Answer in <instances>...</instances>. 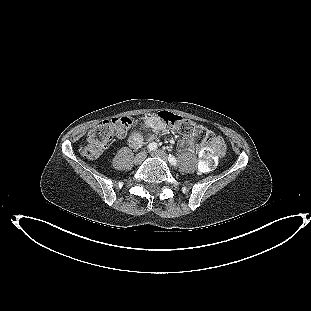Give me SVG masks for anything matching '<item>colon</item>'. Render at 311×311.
Wrapping results in <instances>:
<instances>
[{"instance_id":"obj_1","label":"colon","mask_w":311,"mask_h":311,"mask_svg":"<svg viewBox=\"0 0 311 311\" xmlns=\"http://www.w3.org/2000/svg\"><path fill=\"white\" fill-rule=\"evenodd\" d=\"M158 116L164 123L177 128L196 143L211 144V148H205L201 152V166L204 169L214 167L218 157L224 153V145L220 139L204 126L172 112L161 111ZM132 125L133 119L128 116L102 121L89 131L85 143L80 147L81 155L87 159L98 158L105 147L114 140L122 138Z\"/></svg>"}]
</instances>
